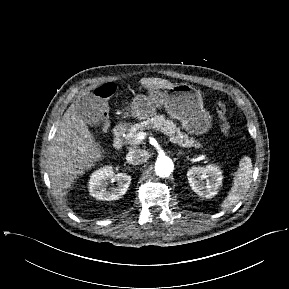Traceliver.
I'll use <instances>...</instances> for the list:
<instances>
[{"instance_id":"6515ba94","label":"liver","mask_w":289,"mask_h":289,"mask_svg":"<svg viewBox=\"0 0 289 289\" xmlns=\"http://www.w3.org/2000/svg\"><path fill=\"white\" fill-rule=\"evenodd\" d=\"M140 83L148 90L173 86L161 78H142ZM76 106L71 104L64 113L49 149L51 187L59 197L66 194L64 191L71 187L77 176L95 166L104 153Z\"/></svg>"}]
</instances>
